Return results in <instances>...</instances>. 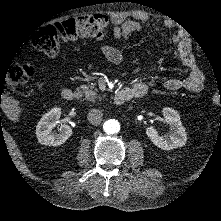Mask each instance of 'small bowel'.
I'll return each mask as SVG.
<instances>
[{
    "label": "small bowel",
    "instance_id": "1",
    "mask_svg": "<svg viewBox=\"0 0 221 221\" xmlns=\"http://www.w3.org/2000/svg\"><path fill=\"white\" fill-rule=\"evenodd\" d=\"M149 20V16L143 12L136 11L132 13H114L111 17L112 34L117 40L127 39L133 32L142 29V23ZM169 45H175L174 55L181 62V64L188 70L186 78H169L164 81V87L171 91L185 89L194 93H198L203 89L204 76L197 64L194 56L191 54V43L188 39L179 41L177 34L172 33L168 39ZM100 52L113 64H121L124 60L123 54L120 50L113 46L103 45ZM150 55L153 53L150 52ZM154 80H133L131 91L133 97H140L146 93L148 87L155 85Z\"/></svg>",
    "mask_w": 221,
    "mask_h": 221
}]
</instances>
